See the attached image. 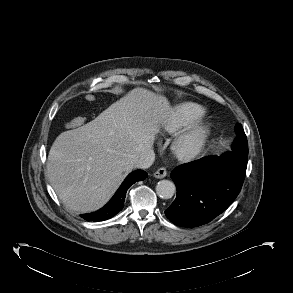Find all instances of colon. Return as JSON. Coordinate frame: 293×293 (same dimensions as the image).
<instances>
[{"instance_id": "obj_1", "label": "colon", "mask_w": 293, "mask_h": 293, "mask_svg": "<svg viewBox=\"0 0 293 293\" xmlns=\"http://www.w3.org/2000/svg\"><path fill=\"white\" fill-rule=\"evenodd\" d=\"M85 99L88 102H94L97 100V96L92 93H89L85 96ZM85 121H86V119L84 117H75L67 123V127L68 128H77V127H80L81 125H83L85 123Z\"/></svg>"}]
</instances>
